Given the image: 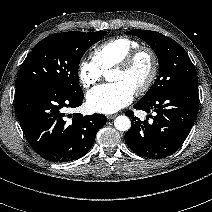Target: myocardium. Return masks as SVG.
Wrapping results in <instances>:
<instances>
[{
	"label": "myocardium",
	"mask_w": 212,
	"mask_h": 212,
	"mask_svg": "<svg viewBox=\"0 0 212 212\" xmlns=\"http://www.w3.org/2000/svg\"><path fill=\"white\" fill-rule=\"evenodd\" d=\"M142 56L148 57L150 61V70L146 80L134 90L137 95L146 93L152 87L157 78L159 62L155 52L148 47H137L136 49L132 50L122 61L112 67V70L129 71Z\"/></svg>",
	"instance_id": "obj_1"
}]
</instances>
